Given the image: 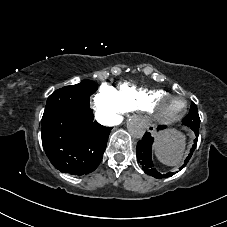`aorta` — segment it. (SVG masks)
Returning a JSON list of instances; mask_svg holds the SVG:
<instances>
[{"mask_svg":"<svg viewBox=\"0 0 227 227\" xmlns=\"http://www.w3.org/2000/svg\"><path fill=\"white\" fill-rule=\"evenodd\" d=\"M127 128L132 136L141 138L145 132L146 124L143 119L132 117L127 123Z\"/></svg>","mask_w":227,"mask_h":227,"instance_id":"762f6f07","label":"aorta"}]
</instances>
